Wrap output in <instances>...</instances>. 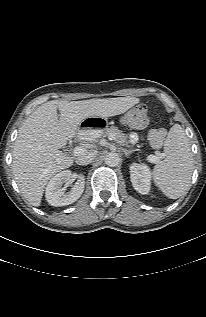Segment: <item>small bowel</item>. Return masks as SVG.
Segmentation results:
<instances>
[{"mask_svg":"<svg viewBox=\"0 0 206 317\" xmlns=\"http://www.w3.org/2000/svg\"><path fill=\"white\" fill-rule=\"evenodd\" d=\"M129 140L131 143H135L138 140V136L136 133H131L129 136Z\"/></svg>","mask_w":206,"mask_h":317,"instance_id":"1","label":"small bowel"}]
</instances>
